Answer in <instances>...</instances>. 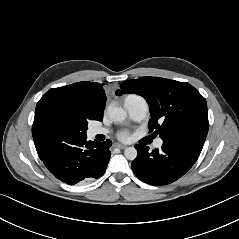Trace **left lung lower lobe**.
<instances>
[{"label": "left lung lower lobe", "mask_w": 239, "mask_h": 239, "mask_svg": "<svg viewBox=\"0 0 239 239\" xmlns=\"http://www.w3.org/2000/svg\"><path fill=\"white\" fill-rule=\"evenodd\" d=\"M137 158L132 162L135 175L151 185H166L183 176L196 162L201 151L183 143L163 140L161 149L149 151L146 145H136Z\"/></svg>", "instance_id": "obj_1"}]
</instances>
